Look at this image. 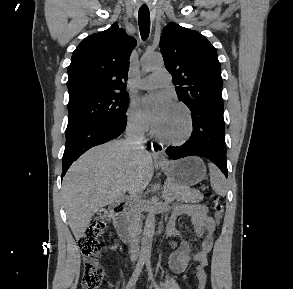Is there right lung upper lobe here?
Returning a JSON list of instances; mask_svg holds the SVG:
<instances>
[{
	"instance_id": "right-lung-upper-lobe-1",
	"label": "right lung upper lobe",
	"mask_w": 293,
	"mask_h": 289,
	"mask_svg": "<svg viewBox=\"0 0 293 289\" xmlns=\"http://www.w3.org/2000/svg\"><path fill=\"white\" fill-rule=\"evenodd\" d=\"M136 40L114 23L85 38L68 67L69 101L96 94L125 92L129 58Z\"/></svg>"
}]
</instances>
